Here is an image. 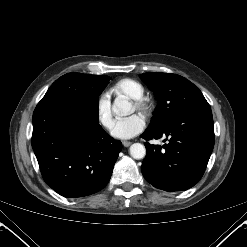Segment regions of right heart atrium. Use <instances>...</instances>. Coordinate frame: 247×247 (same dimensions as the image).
Returning <instances> with one entry per match:
<instances>
[{
  "mask_svg": "<svg viewBox=\"0 0 247 247\" xmlns=\"http://www.w3.org/2000/svg\"><path fill=\"white\" fill-rule=\"evenodd\" d=\"M96 115L98 122L105 128L110 129L113 124L110 95L106 92L100 94L96 103Z\"/></svg>",
  "mask_w": 247,
  "mask_h": 247,
  "instance_id": "obj_1",
  "label": "right heart atrium"
}]
</instances>
